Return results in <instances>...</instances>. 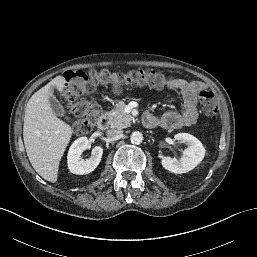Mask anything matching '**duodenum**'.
<instances>
[{
	"label": "duodenum",
	"mask_w": 257,
	"mask_h": 257,
	"mask_svg": "<svg viewBox=\"0 0 257 257\" xmlns=\"http://www.w3.org/2000/svg\"><path fill=\"white\" fill-rule=\"evenodd\" d=\"M109 125V119H108V114L107 112H103L98 120L97 127L99 130H105L107 129Z\"/></svg>",
	"instance_id": "1"
}]
</instances>
